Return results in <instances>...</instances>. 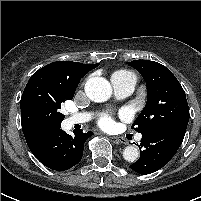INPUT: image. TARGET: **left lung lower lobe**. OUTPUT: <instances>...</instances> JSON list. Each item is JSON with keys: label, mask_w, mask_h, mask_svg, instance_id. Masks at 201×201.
Listing matches in <instances>:
<instances>
[{"label": "left lung lower lobe", "mask_w": 201, "mask_h": 201, "mask_svg": "<svg viewBox=\"0 0 201 201\" xmlns=\"http://www.w3.org/2000/svg\"><path fill=\"white\" fill-rule=\"evenodd\" d=\"M186 128L167 125L142 134L140 158L129 167L139 174H150L165 166L180 147Z\"/></svg>", "instance_id": "0a47b994"}]
</instances>
